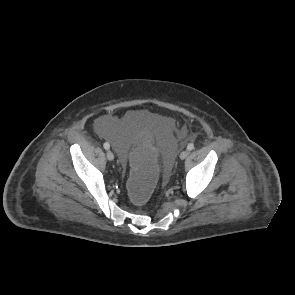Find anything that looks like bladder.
I'll use <instances>...</instances> for the list:
<instances>
[{
    "label": "bladder",
    "instance_id": "31cf9c89",
    "mask_svg": "<svg viewBox=\"0 0 295 295\" xmlns=\"http://www.w3.org/2000/svg\"><path fill=\"white\" fill-rule=\"evenodd\" d=\"M96 131L109 139L116 146L119 153L118 160L123 169L131 166L130 147L139 138L152 140L159 150L161 172L166 175L173 173V161L176 159L178 141L171 136L173 122L166 116L147 113L130 112L121 122H117L112 116H102L95 122ZM173 158V159H172Z\"/></svg>",
    "mask_w": 295,
    "mask_h": 295
}]
</instances>
